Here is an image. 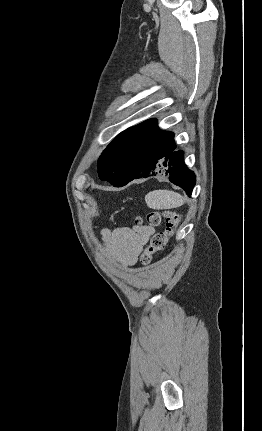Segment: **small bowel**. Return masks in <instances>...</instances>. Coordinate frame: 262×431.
<instances>
[{
	"label": "small bowel",
	"mask_w": 262,
	"mask_h": 431,
	"mask_svg": "<svg viewBox=\"0 0 262 431\" xmlns=\"http://www.w3.org/2000/svg\"><path fill=\"white\" fill-rule=\"evenodd\" d=\"M152 234L151 227H121L114 231L104 229L102 231L104 252L126 266H134Z\"/></svg>",
	"instance_id": "obj_1"
}]
</instances>
